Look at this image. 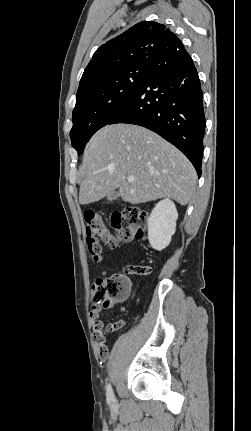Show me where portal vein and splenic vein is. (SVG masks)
Instances as JSON below:
<instances>
[{
  "mask_svg": "<svg viewBox=\"0 0 251 431\" xmlns=\"http://www.w3.org/2000/svg\"><path fill=\"white\" fill-rule=\"evenodd\" d=\"M127 180H128V182H134L135 181V177L134 176H128Z\"/></svg>",
  "mask_w": 251,
  "mask_h": 431,
  "instance_id": "18ae733b",
  "label": "portal vein and splenic vein"
}]
</instances>
